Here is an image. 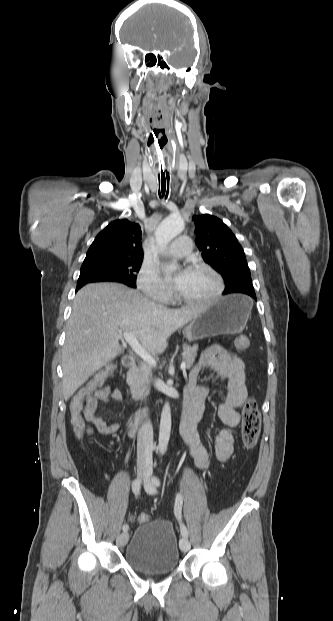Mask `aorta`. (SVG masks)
Returning <instances> with one entry per match:
<instances>
[{
	"label": "aorta",
	"instance_id": "1",
	"mask_svg": "<svg viewBox=\"0 0 333 621\" xmlns=\"http://www.w3.org/2000/svg\"><path fill=\"white\" fill-rule=\"evenodd\" d=\"M185 227V223L180 216L171 215L164 219L156 228L155 238L158 247L164 251L168 243L179 235ZM171 432V408L168 402L163 406L160 430L158 439V450L164 453L167 449Z\"/></svg>",
	"mask_w": 333,
	"mask_h": 621
}]
</instances>
